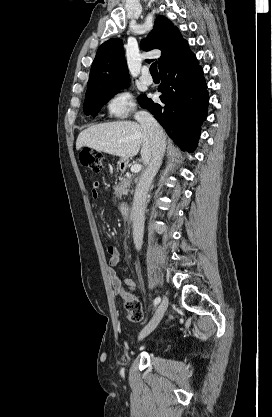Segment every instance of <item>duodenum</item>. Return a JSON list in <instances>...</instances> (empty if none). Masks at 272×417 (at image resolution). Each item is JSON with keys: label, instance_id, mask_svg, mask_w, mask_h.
<instances>
[{"label": "duodenum", "instance_id": "1", "mask_svg": "<svg viewBox=\"0 0 272 417\" xmlns=\"http://www.w3.org/2000/svg\"><path fill=\"white\" fill-rule=\"evenodd\" d=\"M120 212L125 219L130 217V205L128 202L124 201L119 206Z\"/></svg>", "mask_w": 272, "mask_h": 417}]
</instances>
